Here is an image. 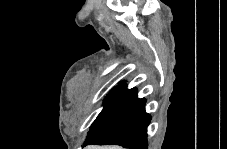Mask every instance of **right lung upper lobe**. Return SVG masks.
I'll return each instance as SVG.
<instances>
[{
  "instance_id": "right-lung-upper-lobe-1",
  "label": "right lung upper lobe",
  "mask_w": 227,
  "mask_h": 149,
  "mask_svg": "<svg viewBox=\"0 0 227 149\" xmlns=\"http://www.w3.org/2000/svg\"><path fill=\"white\" fill-rule=\"evenodd\" d=\"M127 85L125 84V81L124 82H121L119 86H117L116 88H123V89H126ZM134 89V88H133Z\"/></svg>"
}]
</instances>
